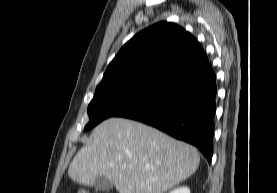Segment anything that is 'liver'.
<instances>
[{"label":"liver","mask_w":277,"mask_h":193,"mask_svg":"<svg viewBox=\"0 0 277 193\" xmlns=\"http://www.w3.org/2000/svg\"><path fill=\"white\" fill-rule=\"evenodd\" d=\"M92 137L68 168L69 177L86 186L104 176L119 193H164L199 166L195 147L133 120L109 118Z\"/></svg>","instance_id":"1"}]
</instances>
